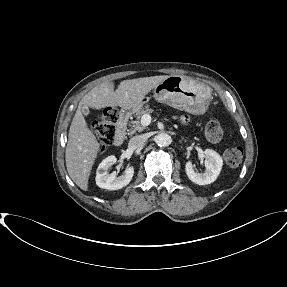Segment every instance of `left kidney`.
Masks as SVG:
<instances>
[{"instance_id":"5707ae66","label":"left kidney","mask_w":287,"mask_h":287,"mask_svg":"<svg viewBox=\"0 0 287 287\" xmlns=\"http://www.w3.org/2000/svg\"><path fill=\"white\" fill-rule=\"evenodd\" d=\"M204 154L206 157V170L204 173L195 172L191 161L186 162L185 165L188 178L198 185H207L214 182L218 177L223 165L222 157L214 150L206 149Z\"/></svg>"}]
</instances>
